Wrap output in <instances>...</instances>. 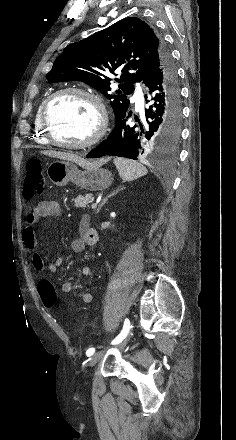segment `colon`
I'll return each mask as SVG.
<instances>
[{
	"instance_id": "1",
	"label": "colon",
	"mask_w": 236,
	"mask_h": 440,
	"mask_svg": "<svg viewBox=\"0 0 236 440\" xmlns=\"http://www.w3.org/2000/svg\"><path fill=\"white\" fill-rule=\"evenodd\" d=\"M45 188V177L43 166L37 159L27 163L24 181V194L31 199L43 193ZM38 291L42 302L48 309H54L57 304V294L53 284L45 279L38 282Z\"/></svg>"
}]
</instances>
